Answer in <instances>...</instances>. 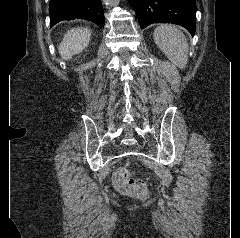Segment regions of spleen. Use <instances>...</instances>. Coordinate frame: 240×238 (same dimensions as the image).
Returning a JSON list of instances; mask_svg holds the SVG:
<instances>
[{"mask_svg":"<svg viewBox=\"0 0 240 238\" xmlns=\"http://www.w3.org/2000/svg\"><path fill=\"white\" fill-rule=\"evenodd\" d=\"M154 41L168 59L179 68H185L188 61V42L177 27L160 25L154 30Z\"/></svg>","mask_w":240,"mask_h":238,"instance_id":"obj_1","label":"spleen"}]
</instances>
